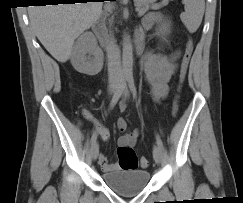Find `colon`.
<instances>
[{
    "label": "colon",
    "mask_w": 243,
    "mask_h": 203,
    "mask_svg": "<svg viewBox=\"0 0 243 203\" xmlns=\"http://www.w3.org/2000/svg\"><path fill=\"white\" fill-rule=\"evenodd\" d=\"M193 41L188 39L186 43V49L182 57V62L179 70V87L182 86L189 68V63L193 54ZM178 112V102L176 101L173 108V113ZM117 155L119 160V166L122 170H135L140 164L141 167L146 168L149 164L146 158H142L140 162L136 156L134 149L131 146L120 145L117 149Z\"/></svg>",
    "instance_id": "colon-1"
}]
</instances>
